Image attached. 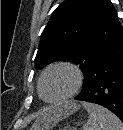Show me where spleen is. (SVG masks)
<instances>
[{"label": "spleen", "instance_id": "spleen-1", "mask_svg": "<svg viewBox=\"0 0 123 130\" xmlns=\"http://www.w3.org/2000/svg\"><path fill=\"white\" fill-rule=\"evenodd\" d=\"M82 105L89 116L83 130H123L121 120L106 108L88 102Z\"/></svg>", "mask_w": 123, "mask_h": 130}]
</instances>
